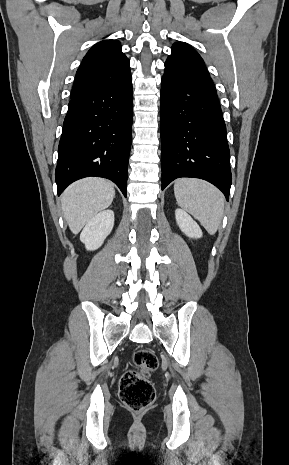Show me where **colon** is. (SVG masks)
I'll list each match as a JSON object with an SVG mask.
<instances>
[{
    "label": "colon",
    "instance_id": "obj_1",
    "mask_svg": "<svg viewBox=\"0 0 289 465\" xmlns=\"http://www.w3.org/2000/svg\"><path fill=\"white\" fill-rule=\"evenodd\" d=\"M136 369L127 370L120 381L119 396L123 404L134 412H140L155 400V389L149 376L158 368V359L150 349L135 352Z\"/></svg>",
    "mask_w": 289,
    "mask_h": 465
}]
</instances>
